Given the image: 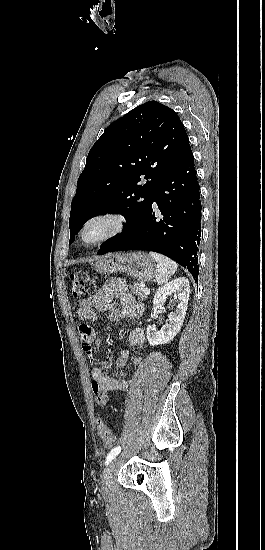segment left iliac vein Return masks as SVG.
<instances>
[{
    "mask_svg": "<svg viewBox=\"0 0 265 550\" xmlns=\"http://www.w3.org/2000/svg\"><path fill=\"white\" fill-rule=\"evenodd\" d=\"M116 464H117V459H114L108 465V467L104 470L103 475H102V481H103V484L105 486H109L111 484L112 473H113V470H114Z\"/></svg>",
    "mask_w": 265,
    "mask_h": 550,
    "instance_id": "4c4485c4",
    "label": "left iliac vein"
}]
</instances>
